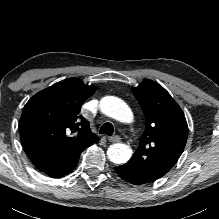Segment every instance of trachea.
Wrapping results in <instances>:
<instances>
[{"label": "trachea", "instance_id": "obj_1", "mask_svg": "<svg viewBox=\"0 0 219 219\" xmlns=\"http://www.w3.org/2000/svg\"><path fill=\"white\" fill-rule=\"evenodd\" d=\"M113 132H114V127L111 123H105L100 129L101 134H106L109 136H112Z\"/></svg>", "mask_w": 219, "mask_h": 219}]
</instances>
